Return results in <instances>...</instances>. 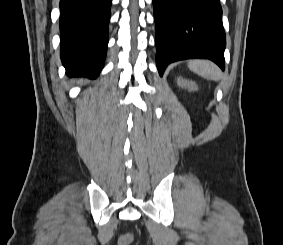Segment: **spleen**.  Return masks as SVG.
<instances>
[{
    "label": "spleen",
    "mask_w": 283,
    "mask_h": 245,
    "mask_svg": "<svg viewBox=\"0 0 283 245\" xmlns=\"http://www.w3.org/2000/svg\"><path fill=\"white\" fill-rule=\"evenodd\" d=\"M188 67L194 73L210 80L218 81L221 77L219 68L207 60H192L189 61Z\"/></svg>",
    "instance_id": "1"
}]
</instances>
